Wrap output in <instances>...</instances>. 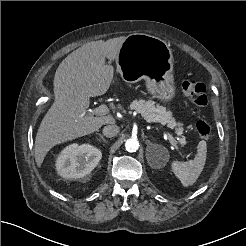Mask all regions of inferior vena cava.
<instances>
[{
    "instance_id": "1",
    "label": "inferior vena cava",
    "mask_w": 246,
    "mask_h": 246,
    "mask_svg": "<svg viewBox=\"0 0 246 246\" xmlns=\"http://www.w3.org/2000/svg\"><path fill=\"white\" fill-rule=\"evenodd\" d=\"M120 131V128L115 125V124H111V125H107L103 128V135L108 137V138H112L115 137Z\"/></svg>"
}]
</instances>
